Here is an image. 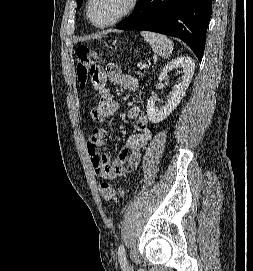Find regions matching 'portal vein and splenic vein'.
<instances>
[{
	"mask_svg": "<svg viewBox=\"0 0 253 271\" xmlns=\"http://www.w3.org/2000/svg\"><path fill=\"white\" fill-rule=\"evenodd\" d=\"M138 67H139L140 69H144L146 66H145L144 64H142V63H138Z\"/></svg>",
	"mask_w": 253,
	"mask_h": 271,
	"instance_id": "portal-vein-and-splenic-vein-1",
	"label": "portal vein and splenic vein"
}]
</instances>
